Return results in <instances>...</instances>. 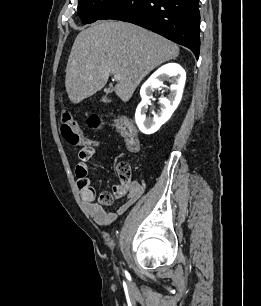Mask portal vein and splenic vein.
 Listing matches in <instances>:
<instances>
[{"label":"portal vein and splenic vein","mask_w":261,"mask_h":306,"mask_svg":"<svg viewBox=\"0 0 261 306\" xmlns=\"http://www.w3.org/2000/svg\"><path fill=\"white\" fill-rule=\"evenodd\" d=\"M114 80H115V81H120V80H121V76L118 75V74H115V75H114Z\"/></svg>","instance_id":"18ae733b"}]
</instances>
